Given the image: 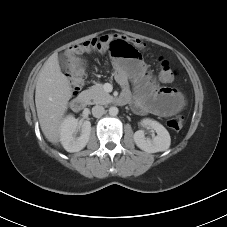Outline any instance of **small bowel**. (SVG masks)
Masks as SVG:
<instances>
[{"mask_svg": "<svg viewBox=\"0 0 227 227\" xmlns=\"http://www.w3.org/2000/svg\"><path fill=\"white\" fill-rule=\"evenodd\" d=\"M85 69V60L73 56L67 62L66 73L72 79H79L84 75ZM115 79L122 88L120 97L124 103L131 102L139 114L153 113L167 117L179 111L184 104V98L177 90L157 87L139 59L117 62Z\"/></svg>", "mask_w": 227, "mask_h": 227, "instance_id": "obj_1", "label": "small bowel"}]
</instances>
